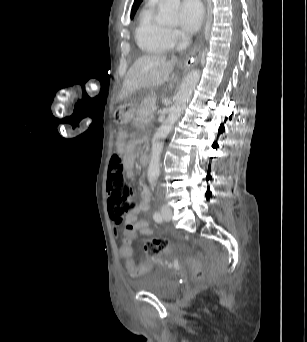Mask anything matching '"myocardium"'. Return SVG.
I'll return each instance as SVG.
<instances>
[{"instance_id":"f54148a6","label":"myocardium","mask_w":307,"mask_h":342,"mask_svg":"<svg viewBox=\"0 0 307 342\" xmlns=\"http://www.w3.org/2000/svg\"><path fill=\"white\" fill-rule=\"evenodd\" d=\"M165 44H166V48L169 49V50L177 49L174 45H171V44L167 43L166 41H165Z\"/></svg>"}]
</instances>
